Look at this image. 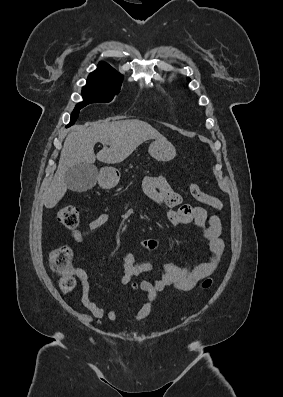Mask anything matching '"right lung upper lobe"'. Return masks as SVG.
<instances>
[{
    "instance_id": "right-lung-upper-lobe-1",
    "label": "right lung upper lobe",
    "mask_w": 283,
    "mask_h": 397,
    "mask_svg": "<svg viewBox=\"0 0 283 397\" xmlns=\"http://www.w3.org/2000/svg\"><path fill=\"white\" fill-rule=\"evenodd\" d=\"M89 81H121L122 75L118 74L110 65L101 62L98 68L88 76Z\"/></svg>"
}]
</instances>
